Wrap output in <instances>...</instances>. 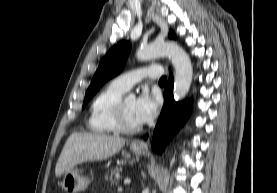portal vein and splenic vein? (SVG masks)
Instances as JSON below:
<instances>
[{"label":"portal vein and splenic vein","mask_w":277,"mask_h":193,"mask_svg":"<svg viewBox=\"0 0 277 193\" xmlns=\"http://www.w3.org/2000/svg\"><path fill=\"white\" fill-rule=\"evenodd\" d=\"M131 183V179L130 178H125L124 179V184H130Z\"/></svg>","instance_id":"portal-vein-and-splenic-vein-1"}]
</instances>
